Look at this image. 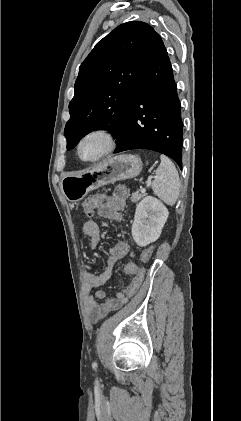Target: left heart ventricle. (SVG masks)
I'll return each mask as SVG.
<instances>
[{
	"mask_svg": "<svg viewBox=\"0 0 241 421\" xmlns=\"http://www.w3.org/2000/svg\"><path fill=\"white\" fill-rule=\"evenodd\" d=\"M104 146V141L98 136H93L84 141L81 147V154L90 158L96 156Z\"/></svg>",
	"mask_w": 241,
	"mask_h": 421,
	"instance_id": "obj_1",
	"label": "left heart ventricle"
}]
</instances>
